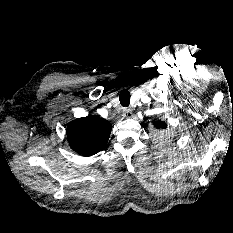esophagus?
<instances>
[{"mask_svg": "<svg viewBox=\"0 0 233 233\" xmlns=\"http://www.w3.org/2000/svg\"><path fill=\"white\" fill-rule=\"evenodd\" d=\"M122 115H123L124 117H126V118H131L132 115H133V113H132V111H131L130 109L124 108V109H123Z\"/></svg>", "mask_w": 233, "mask_h": 233, "instance_id": "1", "label": "esophagus"}]
</instances>
